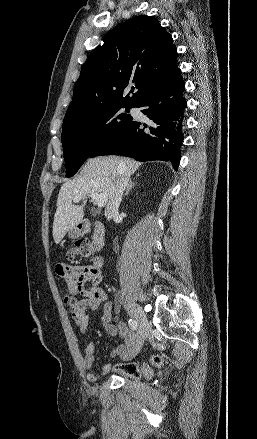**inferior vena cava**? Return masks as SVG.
Here are the masks:
<instances>
[{"instance_id":"obj_1","label":"inferior vena cava","mask_w":257,"mask_h":439,"mask_svg":"<svg viewBox=\"0 0 257 439\" xmlns=\"http://www.w3.org/2000/svg\"><path fill=\"white\" fill-rule=\"evenodd\" d=\"M128 181H129L128 177L125 176L122 177L120 183L118 184L115 191L109 198V202L105 209V216L108 220L118 215V209L122 201L123 192L128 184Z\"/></svg>"}]
</instances>
